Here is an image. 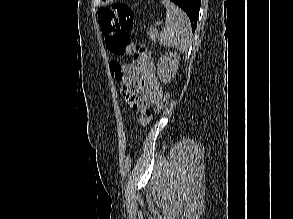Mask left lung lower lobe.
<instances>
[{"mask_svg": "<svg viewBox=\"0 0 293 219\" xmlns=\"http://www.w3.org/2000/svg\"><path fill=\"white\" fill-rule=\"evenodd\" d=\"M181 7L189 16L192 24V31L194 32L197 25L201 0H171Z\"/></svg>", "mask_w": 293, "mask_h": 219, "instance_id": "obj_1", "label": "left lung lower lobe"}]
</instances>
